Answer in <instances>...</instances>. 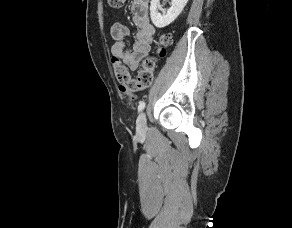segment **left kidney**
<instances>
[{
	"label": "left kidney",
	"mask_w": 292,
	"mask_h": 228,
	"mask_svg": "<svg viewBox=\"0 0 292 228\" xmlns=\"http://www.w3.org/2000/svg\"><path fill=\"white\" fill-rule=\"evenodd\" d=\"M188 0H172L171 8L164 11L161 8L160 0H151L150 4V16L153 24L158 28H163L171 24L182 12ZM162 10L163 13H159L158 10Z\"/></svg>",
	"instance_id": "5707ae66"
}]
</instances>
